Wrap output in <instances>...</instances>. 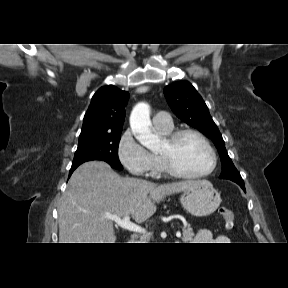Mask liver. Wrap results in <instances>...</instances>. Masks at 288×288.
Wrapping results in <instances>:
<instances>
[{"instance_id":"6515ba94","label":"liver","mask_w":288,"mask_h":288,"mask_svg":"<svg viewBox=\"0 0 288 288\" xmlns=\"http://www.w3.org/2000/svg\"><path fill=\"white\" fill-rule=\"evenodd\" d=\"M201 182L159 185L123 178L102 161L83 163L71 175L58 208L59 243H114L113 221L107 216L132 215L142 223L156 212L155 203Z\"/></svg>"}]
</instances>
